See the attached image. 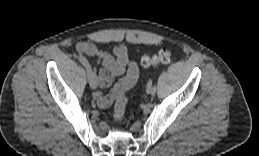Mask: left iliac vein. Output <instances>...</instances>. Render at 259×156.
<instances>
[{"instance_id":"1","label":"left iliac vein","mask_w":259,"mask_h":156,"mask_svg":"<svg viewBox=\"0 0 259 156\" xmlns=\"http://www.w3.org/2000/svg\"><path fill=\"white\" fill-rule=\"evenodd\" d=\"M146 91H147L148 94L153 95L152 94V86L151 87H147Z\"/></svg>"}]
</instances>
